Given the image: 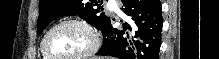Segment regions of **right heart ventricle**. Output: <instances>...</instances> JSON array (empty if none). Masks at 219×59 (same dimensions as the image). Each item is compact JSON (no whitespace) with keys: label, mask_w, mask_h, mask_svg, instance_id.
Returning <instances> with one entry per match:
<instances>
[{"label":"right heart ventricle","mask_w":219,"mask_h":59,"mask_svg":"<svg viewBox=\"0 0 219 59\" xmlns=\"http://www.w3.org/2000/svg\"><path fill=\"white\" fill-rule=\"evenodd\" d=\"M40 50H41V48H40ZM41 54H42V58H43V59H49V58L43 53L42 50H41Z\"/></svg>","instance_id":"obj_1"}]
</instances>
